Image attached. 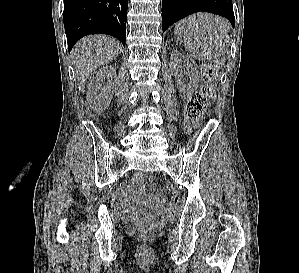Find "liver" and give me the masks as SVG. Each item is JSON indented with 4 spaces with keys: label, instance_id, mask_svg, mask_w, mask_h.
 <instances>
[{
    "label": "liver",
    "instance_id": "1",
    "mask_svg": "<svg viewBox=\"0 0 299 273\" xmlns=\"http://www.w3.org/2000/svg\"><path fill=\"white\" fill-rule=\"evenodd\" d=\"M119 50V42L105 35L87 36L76 43L71 59L80 91L84 90L92 71L115 59Z\"/></svg>",
    "mask_w": 299,
    "mask_h": 273
}]
</instances>
